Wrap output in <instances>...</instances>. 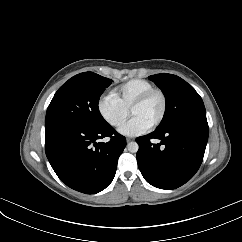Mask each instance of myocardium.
<instances>
[{
    "label": "myocardium",
    "instance_id": "myocardium-1",
    "mask_svg": "<svg viewBox=\"0 0 242 242\" xmlns=\"http://www.w3.org/2000/svg\"><path fill=\"white\" fill-rule=\"evenodd\" d=\"M154 95H158L161 98L162 107H161V112L158 119L150 126L151 129L157 128L163 122L166 116L167 108H168V100L164 91H162L161 89L153 88L145 92L144 94H142L140 97H138L130 107V114H132L134 109L143 105Z\"/></svg>",
    "mask_w": 242,
    "mask_h": 242
}]
</instances>
